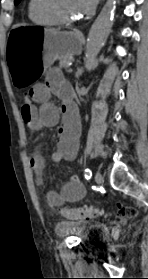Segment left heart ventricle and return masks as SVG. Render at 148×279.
<instances>
[{
  "label": "left heart ventricle",
  "mask_w": 148,
  "mask_h": 279,
  "mask_svg": "<svg viewBox=\"0 0 148 279\" xmlns=\"http://www.w3.org/2000/svg\"><path fill=\"white\" fill-rule=\"evenodd\" d=\"M60 11L67 17H79L81 15L76 0H57Z\"/></svg>",
  "instance_id": "b2bd125f"
}]
</instances>
